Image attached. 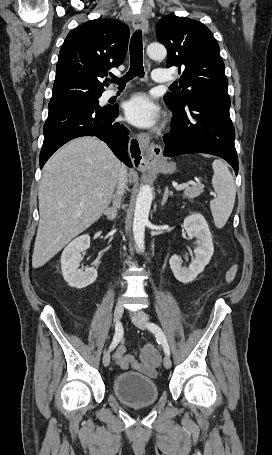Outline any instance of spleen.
<instances>
[{"label":"spleen","mask_w":272,"mask_h":455,"mask_svg":"<svg viewBox=\"0 0 272 455\" xmlns=\"http://www.w3.org/2000/svg\"><path fill=\"white\" fill-rule=\"evenodd\" d=\"M212 167L214 170L212 185L217 196L210 201V209L216 227L222 228L232 213L236 187L233 176L223 161L215 160Z\"/></svg>","instance_id":"3e777b00"}]
</instances>
